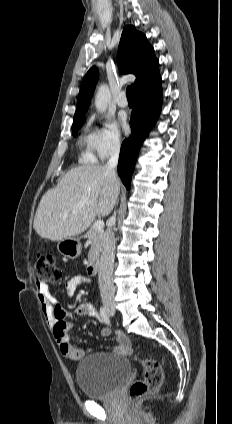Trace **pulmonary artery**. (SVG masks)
I'll return each mask as SVG.
<instances>
[{"mask_svg":"<svg viewBox=\"0 0 232 424\" xmlns=\"http://www.w3.org/2000/svg\"><path fill=\"white\" fill-rule=\"evenodd\" d=\"M117 105L121 108H126L128 106V100L125 92H121L117 97Z\"/></svg>","mask_w":232,"mask_h":424,"instance_id":"e3ab8cb5","label":"pulmonary artery"}]
</instances>
